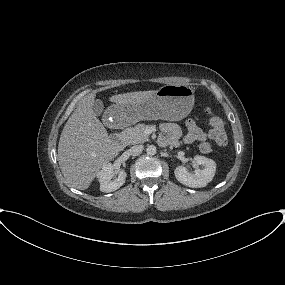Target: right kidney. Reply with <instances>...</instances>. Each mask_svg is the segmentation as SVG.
I'll use <instances>...</instances> for the list:
<instances>
[{"mask_svg":"<svg viewBox=\"0 0 285 285\" xmlns=\"http://www.w3.org/2000/svg\"><path fill=\"white\" fill-rule=\"evenodd\" d=\"M113 176V165L111 163L104 164L97 173V178L100 182V191L109 193L119 189L125 183L127 175L124 170H121L116 179L112 180Z\"/></svg>","mask_w":285,"mask_h":285,"instance_id":"1","label":"right kidney"}]
</instances>
